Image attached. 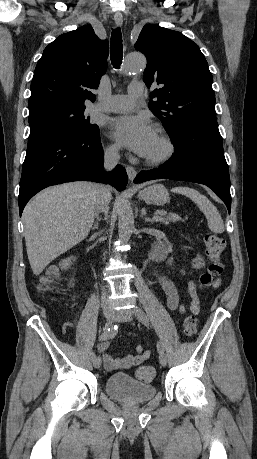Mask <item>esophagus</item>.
I'll use <instances>...</instances> for the list:
<instances>
[{
	"label": "esophagus",
	"mask_w": 257,
	"mask_h": 459,
	"mask_svg": "<svg viewBox=\"0 0 257 459\" xmlns=\"http://www.w3.org/2000/svg\"><path fill=\"white\" fill-rule=\"evenodd\" d=\"M114 21L116 23L117 26H121L122 23H123V16H122V13L121 12H115L114 14ZM126 171H127V175H128V178L131 182L134 181L136 175H137V172L135 170V168H133L132 166H127L126 167Z\"/></svg>",
	"instance_id": "esophagus-1"
}]
</instances>
